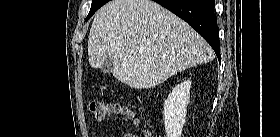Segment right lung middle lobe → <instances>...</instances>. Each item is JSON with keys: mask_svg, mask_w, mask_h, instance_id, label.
Listing matches in <instances>:
<instances>
[{"mask_svg": "<svg viewBox=\"0 0 280 137\" xmlns=\"http://www.w3.org/2000/svg\"><path fill=\"white\" fill-rule=\"evenodd\" d=\"M108 1L109 0H92L91 9L86 20H88L100 7H102Z\"/></svg>", "mask_w": 280, "mask_h": 137, "instance_id": "right-lung-middle-lobe-1", "label": "right lung middle lobe"}]
</instances>
